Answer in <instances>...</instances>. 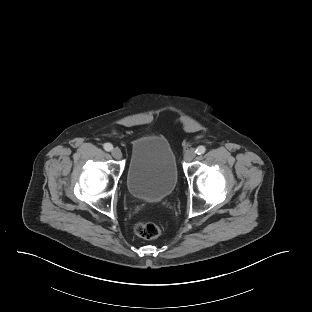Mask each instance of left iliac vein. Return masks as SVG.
Instances as JSON below:
<instances>
[{
  "mask_svg": "<svg viewBox=\"0 0 312 312\" xmlns=\"http://www.w3.org/2000/svg\"><path fill=\"white\" fill-rule=\"evenodd\" d=\"M196 156V152L194 149H189L184 153V160L186 162L192 161Z\"/></svg>",
  "mask_w": 312,
  "mask_h": 312,
  "instance_id": "4c4485c4",
  "label": "left iliac vein"
}]
</instances>
